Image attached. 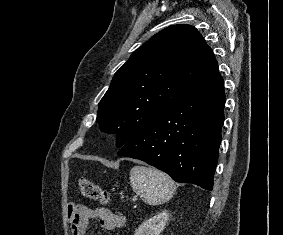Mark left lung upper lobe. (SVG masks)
<instances>
[{
  "label": "left lung upper lobe",
  "instance_id": "1",
  "mask_svg": "<svg viewBox=\"0 0 283 235\" xmlns=\"http://www.w3.org/2000/svg\"><path fill=\"white\" fill-rule=\"evenodd\" d=\"M218 72L196 28L173 25L137 49L115 73L99 102L100 129L124 146L169 107Z\"/></svg>",
  "mask_w": 283,
  "mask_h": 235
}]
</instances>
